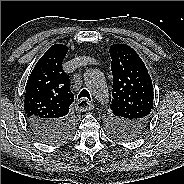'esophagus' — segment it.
<instances>
[{"label": "esophagus", "instance_id": "34e87169", "mask_svg": "<svg viewBox=\"0 0 184 184\" xmlns=\"http://www.w3.org/2000/svg\"><path fill=\"white\" fill-rule=\"evenodd\" d=\"M76 108L79 111H89L94 108V104H92L90 101H88L85 98H82L77 101Z\"/></svg>", "mask_w": 184, "mask_h": 184}]
</instances>
